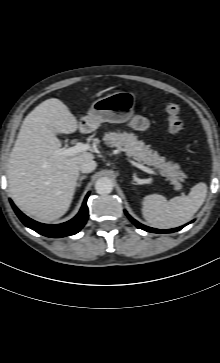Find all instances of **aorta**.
<instances>
[{
	"mask_svg": "<svg viewBox=\"0 0 220 363\" xmlns=\"http://www.w3.org/2000/svg\"><path fill=\"white\" fill-rule=\"evenodd\" d=\"M95 190L100 195H107L113 190V182L106 177L99 178L95 183Z\"/></svg>",
	"mask_w": 220,
	"mask_h": 363,
	"instance_id": "1",
	"label": "aorta"
}]
</instances>
